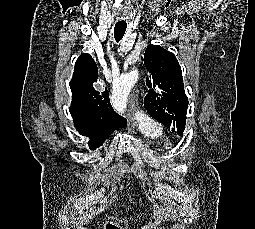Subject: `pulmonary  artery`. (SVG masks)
Here are the masks:
<instances>
[{
	"label": "pulmonary artery",
	"instance_id": "e3ab8cb5",
	"mask_svg": "<svg viewBox=\"0 0 255 229\" xmlns=\"http://www.w3.org/2000/svg\"><path fill=\"white\" fill-rule=\"evenodd\" d=\"M135 119L142 125L150 126L151 119L140 110L135 112Z\"/></svg>",
	"mask_w": 255,
	"mask_h": 229
}]
</instances>
